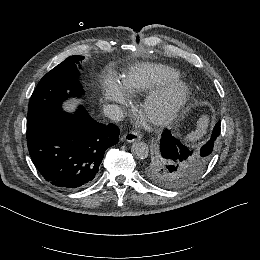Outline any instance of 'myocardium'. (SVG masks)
<instances>
[{"instance_id":"f54148a6","label":"myocardium","mask_w":260,"mask_h":260,"mask_svg":"<svg viewBox=\"0 0 260 260\" xmlns=\"http://www.w3.org/2000/svg\"><path fill=\"white\" fill-rule=\"evenodd\" d=\"M190 85L182 79L163 85L153 92L142 106L150 123L155 126L169 124L189 104Z\"/></svg>"}]
</instances>
